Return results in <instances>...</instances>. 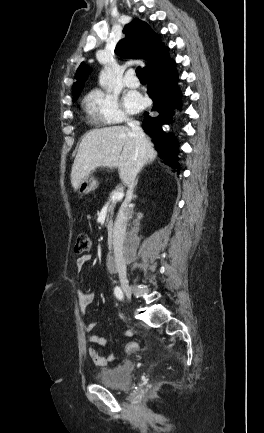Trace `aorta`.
Listing matches in <instances>:
<instances>
[{"mask_svg":"<svg viewBox=\"0 0 264 433\" xmlns=\"http://www.w3.org/2000/svg\"><path fill=\"white\" fill-rule=\"evenodd\" d=\"M107 83H108L107 72H106V70H103V71H101L100 76H99V84L102 87H106Z\"/></svg>","mask_w":264,"mask_h":433,"instance_id":"aorta-1","label":"aorta"}]
</instances>
